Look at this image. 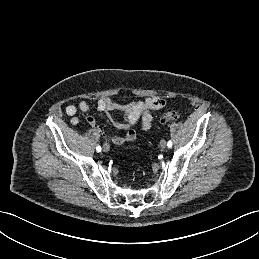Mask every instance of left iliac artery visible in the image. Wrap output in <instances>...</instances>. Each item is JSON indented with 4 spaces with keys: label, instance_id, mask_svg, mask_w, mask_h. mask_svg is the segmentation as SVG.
<instances>
[{
    "label": "left iliac artery",
    "instance_id": "1",
    "mask_svg": "<svg viewBox=\"0 0 259 259\" xmlns=\"http://www.w3.org/2000/svg\"><path fill=\"white\" fill-rule=\"evenodd\" d=\"M167 146H168V148H171V147H172V141H171V140H169V141L167 142Z\"/></svg>",
    "mask_w": 259,
    "mask_h": 259
}]
</instances>
